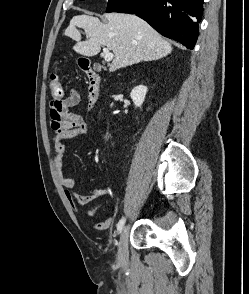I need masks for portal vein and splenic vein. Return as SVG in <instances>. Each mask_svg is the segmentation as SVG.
I'll return each instance as SVG.
<instances>
[{
  "label": "portal vein and splenic vein",
  "instance_id": "18ae733b",
  "mask_svg": "<svg viewBox=\"0 0 249 294\" xmlns=\"http://www.w3.org/2000/svg\"><path fill=\"white\" fill-rule=\"evenodd\" d=\"M103 53H104V60H105L106 62H110V61H112L114 55H113V53H111V52L109 51L108 48H105V47H104V48H103Z\"/></svg>",
  "mask_w": 249,
  "mask_h": 294
}]
</instances>
